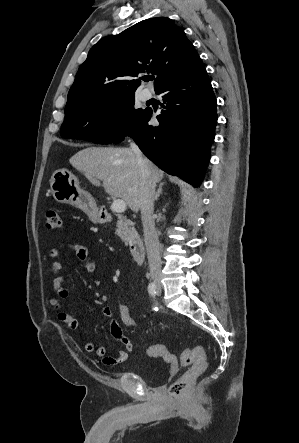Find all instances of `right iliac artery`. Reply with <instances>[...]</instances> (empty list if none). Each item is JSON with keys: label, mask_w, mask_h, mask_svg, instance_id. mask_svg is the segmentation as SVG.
Wrapping results in <instances>:
<instances>
[{"label": "right iliac artery", "mask_w": 299, "mask_h": 443, "mask_svg": "<svg viewBox=\"0 0 299 443\" xmlns=\"http://www.w3.org/2000/svg\"><path fill=\"white\" fill-rule=\"evenodd\" d=\"M148 292H149V294H150L153 298L156 296V294H157V287H156L155 283L151 282V283L148 285Z\"/></svg>", "instance_id": "1"}]
</instances>
